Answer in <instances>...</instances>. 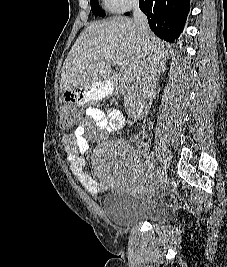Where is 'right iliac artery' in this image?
<instances>
[{"label":"right iliac artery","mask_w":227,"mask_h":267,"mask_svg":"<svg viewBox=\"0 0 227 267\" xmlns=\"http://www.w3.org/2000/svg\"><path fill=\"white\" fill-rule=\"evenodd\" d=\"M150 169H151L152 171L155 169V165H154V163H151ZM160 172H161V169H159V170L157 171V176L160 174Z\"/></svg>","instance_id":"obj_1"}]
</instances>
